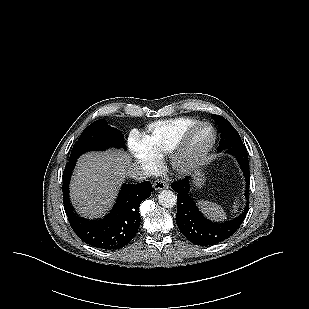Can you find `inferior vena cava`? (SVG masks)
Listing matches in <instances>:
<instances>
[{
	"mask_svg": "<svg viewBox=\"0 0 309 309\" xmlns=\"http://www.w3.org/2000/svg\"><path fill=\"white\" fill-rule=\"evenodd\" d=\"M128 173L131 178L138 181L146 180L149 177V172L137 165L132 166Z\"/></svg>",
	"mask_w": 309,
	"mask_h": 309,
	"instance_id": "1",
	"label": "inferior vena cava"
}]
</instances>
